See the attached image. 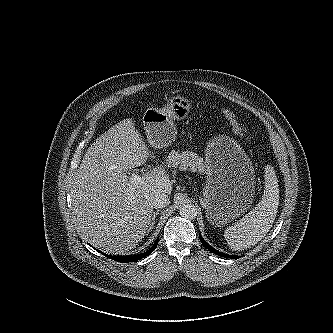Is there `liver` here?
Listing matches in <instances>:
<instances>
[{"label":"liver","instance_id":"obj_1","mask_svg":"<svg viewBox=\"0 0 333 333\" xmlns=\"http://www.w3.org/2000/svg\"><path fill=\"white\" fill-rule=\"evenodd\" d=\"M150 152L135 124L125 119L102 134L86 151L72 188L77 231L109 254H123L144 238L157 193L170 194L172 181L154 168L132 184L126 172L146 162Z\"/></svg>","mask_w":333,"mask_h":333}]
</instances>
